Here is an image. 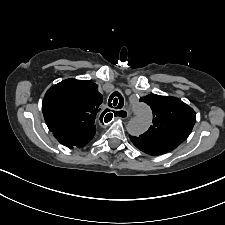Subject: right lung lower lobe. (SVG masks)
Instances as JSON below:
<instances>
[{
	"label": "right lung lower lobe",
	"instance_id": "obj_1",
	"mask_svg": "<svg viewBox=\"0 0 225 225\" xmlns=\"http://www.w3.org/2000/svg\"><path fill=\"white\" fill-rule=\"evenodd\" d=\"M52 133L61 144L70 149L85 146L94 136L86 133L77 134L72 131H52Z\"/></svg>",
	"mask_w": 225,
	"mask_h": 225
}]
</instances>
